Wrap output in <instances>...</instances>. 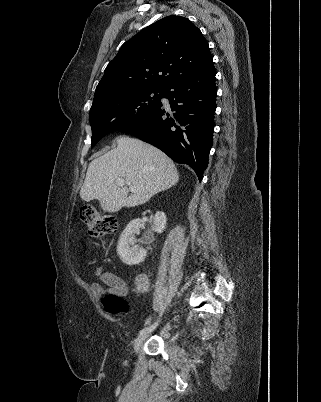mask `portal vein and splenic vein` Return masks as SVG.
<instances>
[{
	"instance_id": "18ae733b",
	"label": "portal vein and splenic vein",
	"mask_w": 321,
	"mask_h": 402,
	"mask_svg": "<svg viewBox=\"0 0 321 402\" xmlns=\"http://www.w3.org/2000/svg\"><path fill=\"white\" fill-rule=\"evenodd\" d=\"M116 184H117L118 186H124L125 181H124V179L118 178V179L116 180ZM130 190H131V192H134L136 189H135L134 187H131Z\"/></svg>"
}]
</instances>
